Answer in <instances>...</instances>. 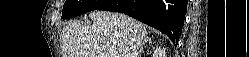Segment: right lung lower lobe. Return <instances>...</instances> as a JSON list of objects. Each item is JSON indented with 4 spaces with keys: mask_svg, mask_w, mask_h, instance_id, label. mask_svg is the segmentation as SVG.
Listing matches in <instances>:
<instances>
[{
    "mask_svg": "<svg viewBox=\"0 0 249 57\" xmlns=\"http://www.w3.org/2000/svg\"><path fill=\"white\" fill-rule=\"evenodd\" d=\"M98 9L132 16L165 33L177 45L187 12V0H109Z\"/></svg>",
    "mask_w": 249,
    "mask_h": 57,
    "instance_id": "98d812e1",
    "label": "right lung lower lobe"
}]
</instances>
